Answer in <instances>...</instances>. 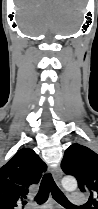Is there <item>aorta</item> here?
I'll return each instance as SVG.
<instances>
[{
  "instance_id": "obj_1",
  "label": "aorta",
  "mask_w": 98,
  "mask_h": 209,
  "mask_svg": "<svg viewBox=\"0 0 98 209\" xmlns=\"http://www.w3.org/2000/svg\"><path fill=\"white\" fill-rule=\"evenodd\" d=\"M62 186L67 191H74L77 188V181L74 177L66 176L62 179Z\"/></svg>"
}]
</instances>
